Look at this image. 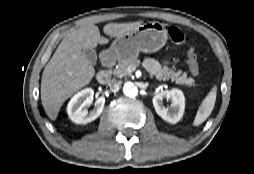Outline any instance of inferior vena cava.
Here are the masks:
<instances>
[{"instance_id": "602c4592", "label": "inferior vena cava", "mask_w": 254, "mask_h": 174, "mask_svg": "<svg viewBox=\"0 0 254 174\" xmlns=\"http://www.w3.org/2000/svg\"><path fill=\"white\" fill-rule=\"evenodd\" d=\"M122 84V81H119V80H112L110 83H109V86L113 89V90H117L119 89V87L121 86Z\"/></svg>"}]
</instances>
